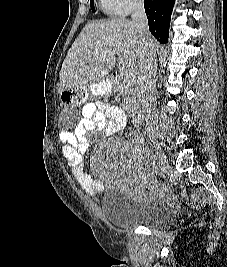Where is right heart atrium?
<instances>
[{"mask_svg":"<svg viewBox=\"0 0 227 267\" xmlns=\"http://www.w3.org/2000/svg\"><path fill=\"white\" fill-rule=\"evenodd\" d=\"M113 6L118 14L128 15L132 11L139 9L143 5V0H105Z\"/></svg>","mask_w":227,"mask_h":267,"instance_id":"obj_1","label":"right heart atrium"}]
</instances>
